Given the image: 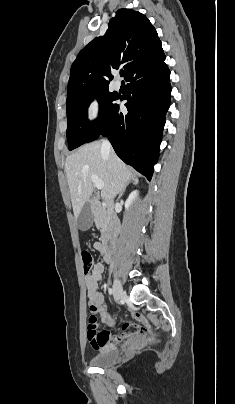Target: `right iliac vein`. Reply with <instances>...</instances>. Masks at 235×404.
<instances>
[{
	"mask_svg": "<svg viewBox=\"0 0 235 404\" xmlns=\"http://www.w3.org/2000/svg\"><path fill=\"white\" fill-rule=\"evenodd\" d=\"M113 295L116 302H119L120 299L124 296L123 288L117 278H115L113 283Z\"/></svg>",
	"mask_w": 235,
	"mask_h": 404,
	"instance_id": "1",
	"label": "right iliac vein"
}]
</instances>
